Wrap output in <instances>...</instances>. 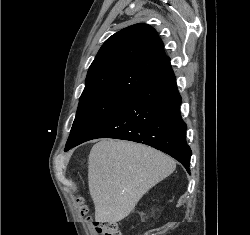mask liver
<instances>
[{
	"label": "liver",
	"mask_w": 250,
	"mask_h": 235,
	"mask_svg": "<svg viewBox=\"0 0 250 235\" xmlns=\"http://www.w3.org/2000/svg\"><path fill=\"white\" fill-rule=\"evenodd\" d=\"M176 162L142 144L103 139L88 160V184L97 222L116 223L134 210L141 197L169 176Z\"/></svg>",
	"instance_id": "obj_1"
}]
</instances>
